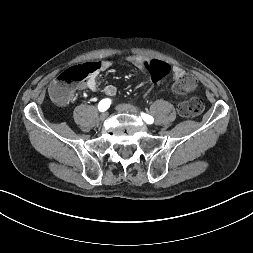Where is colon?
<instances>
[{"label": "colon", "mask_w": 253, "mask_h": 253, "mask_svg": "<svg viewBox=\"0 0 253 253\" xmlns=\"http://www.w3.org/2000/svg\"><path fill=\"white\" fill-rule=\"evenodd\" d=\"M97 68L95 63H86L71 67L61 73L51 87V96L57 103L64 104L72 96L73 87L76 83L83 81ZM170 71L169 66L161 61H153L150 65L151 80L150 88H156L161 84V79ZM197 86V79L194 75L183 73L173 84V91L176 94H186L193 91ZM204 109L202 99L192 97L181 102L178 106L179 114L184 117H191L200 114Z\"/></svg>", "instance_id": "1"}]
</instances>
